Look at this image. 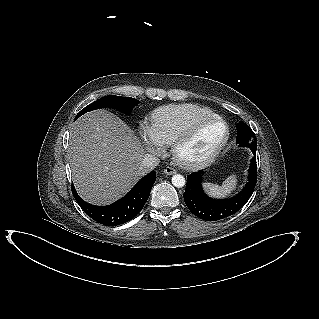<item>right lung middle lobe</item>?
<instances>
[{
  "mask_svg": "<svg viewBox=\"0 0 319 319\" xmlns=\"http://www.w3.org/2000/svg\"><path fill=\"white\" fill-rule=\"evenodd\" d=\"M139 103L138 100L131 97H120L115 95H108L103 97L90 105L82 109L76 116L75 119L80 117L82 114L92 111L94 109H99L103 107H111L120 110L124 113H131L132 109Z\"/></svg>",
  "mask_w": 319,
  "mask_h": 319,
  "instance_id": "1",
  "label": "right lung middle lobe"
}]
</instances>
